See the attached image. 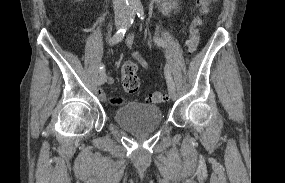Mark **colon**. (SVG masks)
<instances>
[{"instance_id":"obj_1","label":"colon","mask_w":285,"mask_h":183,"mask_svg":"<svg viewBox=\"0 0 285 183\" xmlns=\"http://www.w3.org/2000/svg\"><path fill=\"white\" fill-rule=\"evenodd\" d=\"M214 0H196L200 13L207 11L208 6ZM199 15L193 17L189 24L188 37L185 45L189 53L196 51L199 44V26L201 25ZM137 64L131 60H126L121 66V84L123 89L130 94H135L140 88V79L137 75ZM168 95L164 91H153L149 94L148 100L151 103H163L167 101Z\"/></svg>"}]
</instances>
